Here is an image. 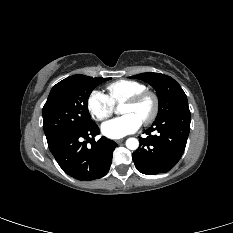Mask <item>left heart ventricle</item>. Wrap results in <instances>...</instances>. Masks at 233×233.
Segmentation results:
<instances>
[{"label":"left heart ventricle","instance_id":"left-heart-ventricle-1","mask_svg":"<svg viewBox=\"0 0 233 233\" xmlns=\"http://www.w3.org/2000/svg\"><path fill=\"white\" fill-rule=\"evenodd\" d=\"M153 110V101L150 98H146L141 101L139 104L131 105H122L120 113L122 115L132 114L137 117L141 122L145 120Z\"/></svg>","mask_w":233,"mask_h":233}]
</instances>
